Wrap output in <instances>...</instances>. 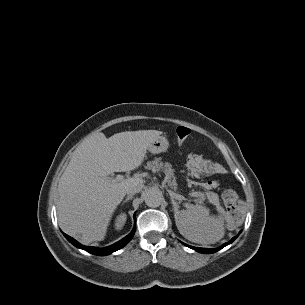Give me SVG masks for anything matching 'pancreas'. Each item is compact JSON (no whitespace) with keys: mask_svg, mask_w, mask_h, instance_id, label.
Returning a JSON list of instances; mask_svg holds the SVG:
<instances>
[{"mask_svg":"<svg viewBox=\"0 0 305 305\" xmlns=\"http://www.w3.org/2000/svg\"><path fill=\"white\" fill-rule=\"evenodd\" d=\"M146 169L152 170L153 172L162 171L166 175V179L170 186L175 189L177 184L174 176V170L172 169V166L168 162H162L160 158H155L153 161L147 162V165L145 166ZM197 202L202 203L205 200V194L202 192L197 193Z\"/></svg>","mask_w":305,"mask_h":305,"instance_id":"cf45deb5","label":"pancreas"}]
</instances>
